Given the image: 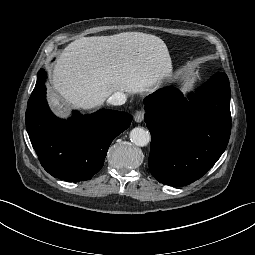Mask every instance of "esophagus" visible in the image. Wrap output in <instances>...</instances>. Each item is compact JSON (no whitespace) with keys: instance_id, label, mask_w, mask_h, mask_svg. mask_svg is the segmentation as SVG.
Segmentation results:
<instances>
[{"instance_id":"obj_1","label":"esophagus","mask_w":255,"mask_h":255,"mask_svg":"<svg viewBox=\"0 0 255 255\" xmlns=\"http://www.w3.org/2000/svg\"><path fill=\"white\" fill-rule=\"evenodd\" d=\"M144 119V112L139 110V111H136L135 114H134V120L138 123L142 122Z\"/></svg>"}]
</instances>
